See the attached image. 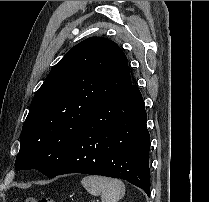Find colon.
<instances>
[{"label":"colon","mask_w":209,"mask_h":202,"mask_svg":"<svg viewBox=\"0 0 209 202\" xmlns=\"http://www.w3.org/2000/svg\"><path fill=\"white\" fill-rule=\"evenodd\" d=\"M24 202H55V201L49 197H40V198L28 197Z\"/></svg>","instance_id":"5ec220e1"}]
</instances>
